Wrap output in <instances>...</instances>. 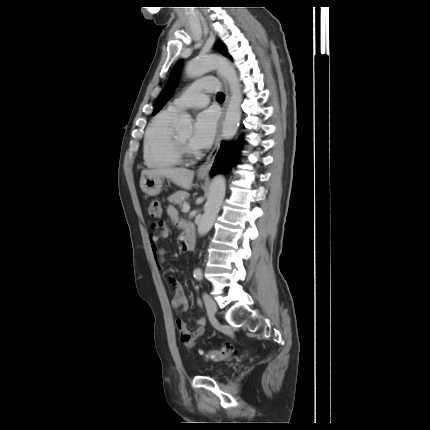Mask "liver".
<instances>
[{
    "label": "liver",
    "mask_w": 430,
    "mask_h": 430,
    "mask_svg": "<svg viewBox=\"0 0 430 430\" xmlns=\"http://www.w3.org/2000/svg\"><path fill=\"white\" fill-rule=\"evenodd\" d=\"M159 175L170 179L174 184L184 189H190L194 171L186 168H176V167H163L157 169H147L141 172V177L143 175Z\"/></svg>",
    "instance_id": "obj_1"
}]
</instances>
